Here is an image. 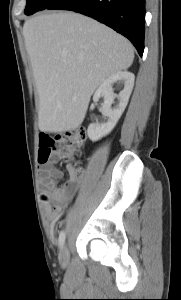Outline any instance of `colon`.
I'll return each instance as SVG.
<instances>
[{
  "label": "colon",
  "mask_w": 181,
  "mask_h": 300,
  "mask_svg": "<svg viewBox=\"0 0 181 300\" xmlns=\"http://www.w3.org/2000/svg\"><path fill=\"white\" fill-rule=\"evenodd\" d=\"M86 141V131L79 128L68 132L64 135L51 137L43 134L40 136V153L39 162L47 161L50 154L54 153L62 161H70L78 155ZM69 172L72 177L80 178L83 170L79 167H69Z\"/></svg>",
  "instance_id": "1"
}]
</instances>
